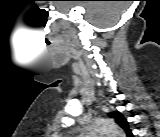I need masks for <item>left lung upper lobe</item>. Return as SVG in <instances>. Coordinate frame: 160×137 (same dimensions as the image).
Returning <instances> with one entry per match:
<instances>
[{"label": "left lung upper lobe", "mask_w": 160, "mask_h": 137, "mask_svg": "<svg viewBox=\"0 0 160 137\" xmlns=\"http://www.w3.org/2000/svg\"><path fill=\"white\" fill-rule=\"evenodd\" d=\"M109 116H112L115 118L116 123L125 130L126 133H128L130 130L128 128V123L126 119L119 113L118 111L114 113H109Z\"/></svg>", "instance_id": "left-lung-upper-lobe-1"}]
</instances>
